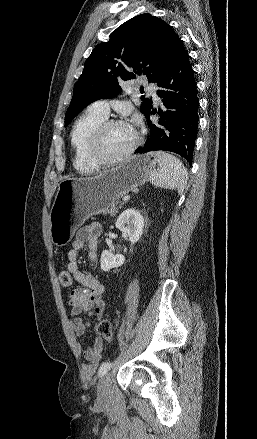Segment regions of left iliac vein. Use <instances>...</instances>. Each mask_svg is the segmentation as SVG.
Returning <instances> with one entry per match:
<instances>
[{"instance_id": "4c4485c4", "label": "left iliac vein", "mask_w": 257, "mask_h": 439, "mask_svg": "<svg viewBox=\"0 0 257 439\" xmlns=\"http://www.w3.org/2000/svg\"><path fill=\"white\" fill-rule=\"evenodd\" d=\"M111 375L109 373L102 376L98 385L97 401L105 403L110 398Z\"/></svg>"}]
</instances>
